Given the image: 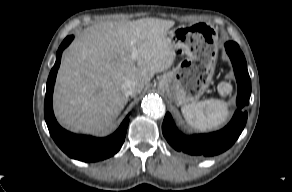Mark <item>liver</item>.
Masks as SVG:
<instances>
[{"instance_id": "6515ba94", "label": "liver", "mask_w": 292, "mask_h": 192, "mask_svg": "<svg viewBox=\"0 0 292 192\" xmlns=\"http://www.w3.org/2000/svg\"><path fill=\"white\" fill-rule=\"evenodd\" d=\"M171 20L143 18L102 22L83 30L60 65L54 112L63 126L84 133L106 130L128 102L121 88L135 84V97L156 73L168 70L176 52ZM132 43L139 55L132 58Z\"/></svg>"}]
</instances>
